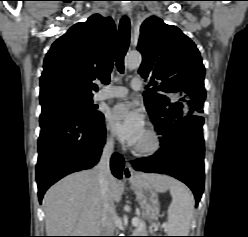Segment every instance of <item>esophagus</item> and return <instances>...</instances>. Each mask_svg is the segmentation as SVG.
<instances>
[{"label":"esophagus","mask_w":248,"mask_h":237,"mask_svg":"<svg viewBox=\"0 0 248 237\" xmlns=\"http://www.w3.org/2000/svg\"><path fill=\"white\" fill-rule=\"evenodd\" d=\"M131 8L130 7H123L122 12L123 14L130 15L131 14ZM135 170L133 169L131 162L126 160L125 167L123 170V177L125 180L133 181L135 178Z\"/></svg>","instance_id":"esophagus-1"}]
</instances>
